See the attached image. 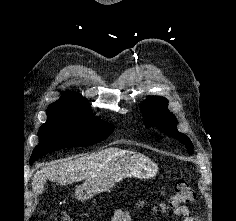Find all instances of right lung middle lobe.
Listing matches in <instances>:
<instances>
[{"label": "right lung middle lobe", "instance_id": "obj_1", "mask_svg": "<svg viewBox=\"0 0 236 221\" xmlns=\"http://www.w3.org/2000/svg\"><path fill=\"white\" fill-rule=\"evenodd\" d=\"M46 114L47 121L39 129V144L33 150L31 164L54 150L98 143L114 129L112 124L94 117L91 111L49 106Z\"/></svg>", "mask_w": 236, "mask_h": 221}]
</instances>
